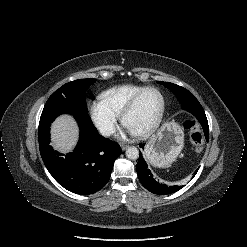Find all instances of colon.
I'll list each match as a JSON object with an SVG mask.
<instances>
[{
    "label": "colon",
    "instance_id": "1",
    "mask_svg": "<svg viewBox=\"0 0 247 247\" xmlns=\"http://www.w3.org/2000/svg\"><path fill=\"white\" fill-rule=\"evenodd\" d=\"M185 128L189 132V137L194 144L196 150L201 151L205 142V133L197 123L195 119L188 118L186 119Z\"/></svg>",
    "mask_w": 247,
    "mask_h": 247
}]
</instances>
